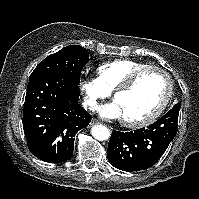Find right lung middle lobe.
<instances>
[{
	"label": "right lung middle lobe",
	"instance_id": "obj_1",
	"mask_svg": "<svg viewBox=\"0 0 199 199\" xmlns=\"http://www.w3.org/2000/svg\"><path fill=\"white\" fill-rule=\"evenodd\" d=\"M89 61V52L78 45H69L40 62L31 76L42 73H61L79 84L81 70Z\"/></svg>",
	"mask_w": 199,
	"mask_h": 199
}]
</instances>
